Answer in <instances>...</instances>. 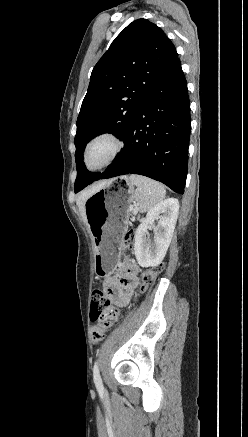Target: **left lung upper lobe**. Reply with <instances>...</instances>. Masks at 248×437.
<instances>
[{
    "label": "left lung upper lobe",
    "instance_id": "1",
    "mask_svg": "<svg viewBox=\"0 0 248 437\" xmlns=\"http://www.w3.org/2000/svg\"><path fill=\"white\" fill-rule=\"evenodd\" d=\"M177 58L170 39L146 19L130 23L112 42L93 68L77 119L75 193L100 175L84 165L87 142L103 133L124 139L144 99Z\"/></svg>",
    "mask_w": 248,
    "mask_h": 437
}]
</instances>
